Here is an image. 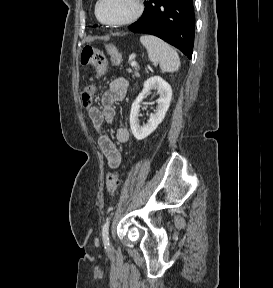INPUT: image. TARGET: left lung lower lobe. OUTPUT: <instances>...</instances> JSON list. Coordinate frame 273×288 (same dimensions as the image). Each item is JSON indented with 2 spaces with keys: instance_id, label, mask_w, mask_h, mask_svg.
<instances>
[{
  "instance_id": "left-lung-lower-lobe-1",
  "label": "left lung lower lobe",
  "mask_w": 273,
  "mask_h": 288,
  "mask_svg": "<svg viewBox=\"0 0 273 288\" xmlns=\"http://www.w3.org/2000/svg\"><path fill=\"white\" fill-rule=\"evenodd\" d=\"M193 0H146L141 18L128 28L155 35L177 47L189 59L194 43Z\"/></svg>"
}]
</instances>
